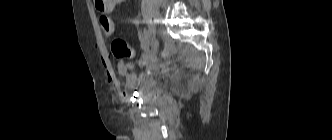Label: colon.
<instances>
[{
  "label": "colon",
  "mask_w": 332,
  "mask_h": 140,
  "mask_svg": "<svg viewBox=\"0 0 332 140\" xmlns=\"http://www.w3.org/2000/svg\"><path fill=\"white\" fill-rule=\"evenodd\" d=\"M122 0H95L98 10L105 12L108 7H114ZM100 26L105 35H112L114 32V22L112 18L104 13L100 17ZM111 51L116 58H130L133 54L130 46L122 39L116 38L111 43Z\"/></svg>",
  "instance_id": "obj_1"
}]
</instances>
